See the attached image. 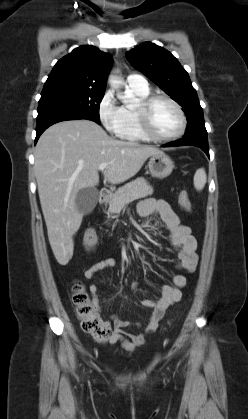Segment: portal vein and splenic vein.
Segmentation results:
<instances>
[{
	"instance_id": "18ae733b",
	"label": "portal vein and splenic vein",
	"mask_w": 248,
	"mask_h": 419,
	"mask_svg": "<svg viewBox=\"0 0 248 419\" xmlns=\"http://www.w3.org/2000/svg\"><path fill=\"white\" fill-rule=\"evenodd\" d=\"M108 165H109L108 163H102L99 165L98 169L100 171H104L108 167Z\"/></svg>"
}]
</instances>
